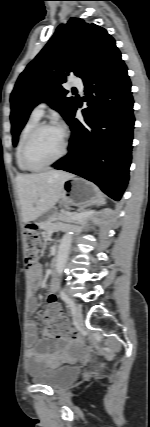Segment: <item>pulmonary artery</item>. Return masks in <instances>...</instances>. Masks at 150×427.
<instances>
[{
  "label": "pulmonary artery",
  "mask_w": 150,
  "mask_h": 427,
  "mask_svg": "<svg viewBox=\"0 0 150 427\" xmlns=\"http://www.w3.org/2000/svg\"><path fill=\"white\" fill-rule=\"evenodd\" d=\"M72 85L79 90H83V83L80 79H74L72 81ZM47 108L48 103L46 101L40 102L38 105L35 106L33 113L41 118L46 112Z\"/></svg>",
  "instance_id": "obj_1"
}]
</instances>
